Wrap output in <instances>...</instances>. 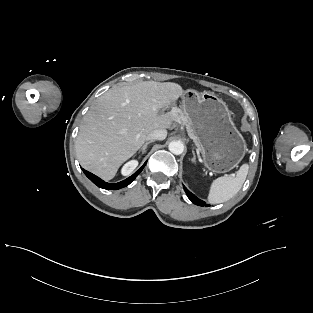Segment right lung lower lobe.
Wrapping results in <instances>:
<instances>
[{"label":"right lung lower lobe","mask_w":313,"mask_h":313,"mask_svg":"<svg viewBox=\"0 0 313 313\" xmlns=\"http://www.w3.org/2000/svg\"><path fill=\"white\" fill-rule=\"evenodd\" d=\"M146 165V163L136 172L134 173L132 176H130L129 178L118 182V183H107L105 181H103L102 179H100L99 177H97L96 175L84 170L83 172L85 173V175L94 183L96 184L98 187L103 188V189H107V190H116V189H120L123 187H126L127 185H129L137 176L138 174L142 171V169L144 168V166Z\"/></svg>","instance_id":"right-lung-lower-lobe-1"}]
</instances>
